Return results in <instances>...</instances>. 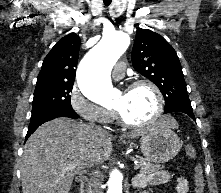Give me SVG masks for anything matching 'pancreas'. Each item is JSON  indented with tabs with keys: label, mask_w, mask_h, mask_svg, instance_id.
<instances>
[{
	"label": "pancreas",
	"mask_w": 221,
	"mask_h": 193,
	"mask_svg": "<svg viewBox=\"0 0 221 193\" xmlns=\"http://www.w3.org/2000/svg\"><path fill=\"white\" fill-rule=\"evenodd\" d=\"M137 161H138L141 174H152L156 172L157 170H161L164 168L163 165L152 164L150 161H147L146 159L142 157H138Z\"/></svg>",
	"instance_id": "cf45deb5"
}]
</instances>
